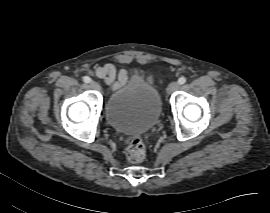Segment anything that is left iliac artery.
<instances>
[{"mask_svg":"<svg viewBox=\"0 0 270 213\" xmlns=\"http://www.w3.org/2000/svg\"><path fill=\"white\" fill-rule=\"evenodd\" d=\"M186 82V78L185 77H180L179 79H178V83L180 84V85H182V84H184Z\"/></svg>","mask_w":270,"mask_h":213,"instance_id":"44dca946","label":"left iliac artery"}]
</instances>
